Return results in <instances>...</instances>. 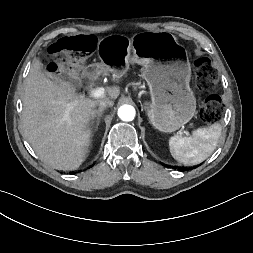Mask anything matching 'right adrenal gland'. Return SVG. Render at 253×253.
Instances as JSON below:
<instances>
[{"instance_id":"obj_1","label":"right adrenal gland","mask_w":253,"mask_h":253,"mask_svg":"<svg viewBox=\"0 0 253 253\" xmlns=\"http://www.w3.org/2000/svg\"><path fill=\"white\" fill-rule=\"evenodd\" d=\"M104 110H105V108H101V109L96 110V112H95V114L92 117L91 122H90V129L91 130L94 128V123L95 122H96L95 131L98 129V126H99V123H100V120H101V116H102V113H103ZM95 118H96V121H95Z\"/></svg>"}]
</instances>
